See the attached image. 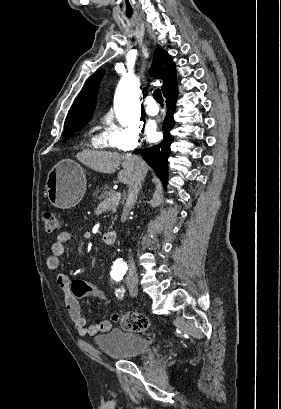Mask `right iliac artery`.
<instances>
[{
  "label": "right iliac artery",
  "instance_id": "82829eb1",
  "mask_svg": "<svg viewBox=\"0 0 281 409\" xmlns=\"http://www.w3.org/2000/svg\"><path fill=\"white\" fill-rule=\"evenodd\" d=\"M113 279H114L115 281H120V279H122V277H120V276H113Z\"/></svg>",
  "mask_w": 281,
  "mask_h": 409
}]
</instances>
